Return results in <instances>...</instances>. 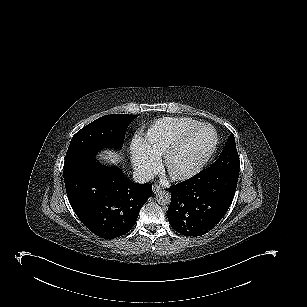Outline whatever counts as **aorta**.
<instances>
[{"label":"aorta","instance_id":"762f6f07","mask_svg":"<svg viewBox=\"0 0 307 307\" xmlns=\"http://www.w3.org/2000/svg\"><path fill=\"white\" fill-rule=\"evenodd\" d=\"M156 201L160 204V205H167L170 203L171 201V196L169 194V192L167 191H159L156 194Z\"/></svg>","mask_w":307,"mask_h":307}]
</instances>
